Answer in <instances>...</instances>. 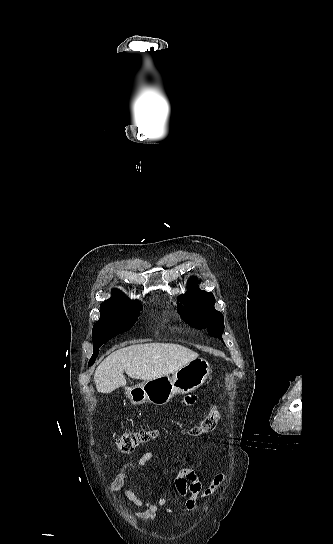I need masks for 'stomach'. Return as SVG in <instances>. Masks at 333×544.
Here are the masks:
<instances>
[{
	"label": "stomach",
	"mask_w": 333,
	"mask_h": 544,
	"mask_svg": "<svg viewBox=\"0 0 333 544\" xmlns=\"http://www.w3.org/2000/svg\"><path fill=\"white\" fill-rule=\"evenodd\" d=\"M210 370L205 359L196 358L174 372L172 377L166 375L128 388L127 397L134 405L149 402L163 406L175 395L199 388L209 376Z\"/></svg>",
	"instance_id": "obj_1"
}]
</instances>
